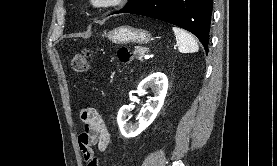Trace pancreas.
<instances>
[{
  "mask_svg": "<svg viewBox=\"0 0 277 166\" xmlns=\"http://www.w3.org/2000/svg\"><path fill=\"white\" fill-rule=\"evenodd\" d=\"M148 51L147 48L144 47H136L134 51V56L137 57L139 60H142L143 54Z\"/></svg>",
  "mask_w": 277,
  "mask_h": 166,
  "instance_id": "pancreas-1",
  "label": "pancreas"
}]
</instances>
